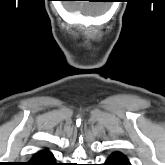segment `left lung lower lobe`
Returning <instances> with one entry per match:
<instances>
[{"label":"left lung lower lobe","mask_w":165,"mask_h":165,"mask_svg":"<svg viewBox=\"0 0 165 165\" xmlns=\"http://www.w3.org/2000/svg\"><path fill=\"white\" fill-rule=\"evenodd\" d=\"M104 165H130V163L123 154L114 152Z\"/></svg>","instance_id":"1"}]
</instances>
